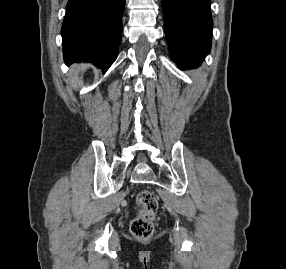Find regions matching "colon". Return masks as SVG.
Returning a JSON list of instances; mask_svg holds the SVG:
<instances>
[{
  "instance_id": "colon-1",
  "label": "colon",
  "mask_w": 286,
  "mask_h": 269,
  "mask_svg": "<svg viewBox=\"0 0 286 269\" xmlns=\"http://www.w3.org/2000/svg\"><path fill=\"white\" fill-rule=\"evenodd\" d=\"M138 213L130 225L131 233L139 239L150 238L154 232V220L158 209L157 198L152 192L142 190L137 195Z\"/></svg>"
}]
</instances>
